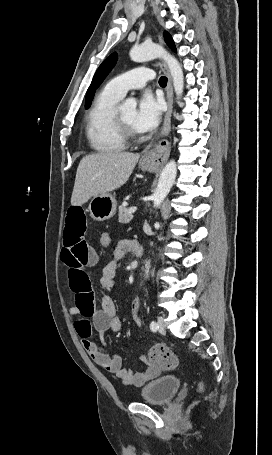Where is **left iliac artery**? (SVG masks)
I'll list each match as a JSON object with an SVG mask.
<instances>
[{
	"instance_id": "left-iliac-artery-1",
	"label": "left iliac artery",
	"mask_w": 272,
	"mask_h": 455,
	"mask_svg": "<svg viewBox=\"0 0 272 455\" xmlns=\"http://www.w3.org/2000/svg\"><path fill=\"white\" fill-rule=\"evenodd\" d=\"M150 329H151L152 331L155 332V331L158 329L157 323L154 322V321H152V322L150 323Z\"/></svg>"
}]
</instances>
